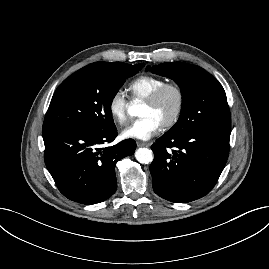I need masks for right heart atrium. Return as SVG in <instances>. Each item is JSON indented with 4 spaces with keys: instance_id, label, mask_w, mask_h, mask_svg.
<instances>
[{
    "instance_id": "1",
    "label": "right heart atrium",
    "mask_w": 269,
    "mask_h": 269,
    "mask_svg": "<svg viewBox=\"0 0 269 269\" xmlns=\"http://www.w3.org/2000/svg\"><path fill=\"white\" fill-rule=\"evenodd\" d=\"M108 111L113 121L123 125L127 120V98L122 90H116L108 102Z\"/></svg>"
}]
</instances>
